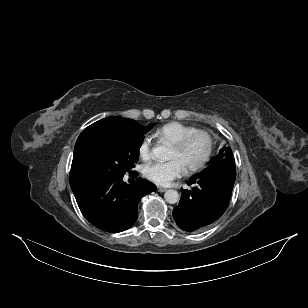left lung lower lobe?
Masks as SVG:
<instances>
[{
    "mask_svg": "<svg viewBox=\"0 0 308 308\" xmlns=\"http://www.w3.org/2000/svg\"><path fill=\"white\" fill-rule=\"evenodd\" d=\"M236 178L234 158L211 163L190 178L192 190H182V198L173 210L176 224L184 231L195 232L216 221L227 209Z\"/></svg>",
    "mask_w": 308,
    "mask_h": 308,
    "instance_id": "obj_1",
    "label": "left lung lower lobe"
}]
</instances>
